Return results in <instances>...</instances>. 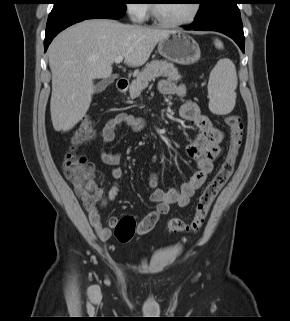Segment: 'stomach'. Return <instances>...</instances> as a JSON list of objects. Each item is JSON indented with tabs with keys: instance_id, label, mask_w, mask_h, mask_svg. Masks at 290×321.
I'll return each instance as SVG.
<instances>
[{
	"instance_id": "obj_1",
	"label": "stomach",
	"mask_w": 290,
	"mask_h": 321,
	"mask_svg": "<svg viewBox=\"0 0 290 321\" xmlns=\"http://www.w3.org/2000/svg\"><path fill=\"white\" fill-rule=\"evenodd\" d=\"M158 52L164 58L181 65L196 63L201 56L198 43L187 33L173 31L158 43Z\"/></svg>"
}]
</instances>
